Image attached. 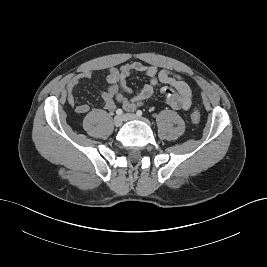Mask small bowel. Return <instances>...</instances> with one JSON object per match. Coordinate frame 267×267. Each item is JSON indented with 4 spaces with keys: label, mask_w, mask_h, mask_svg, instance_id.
Here are the masks:
<instances>
[{
    "label": "small bowel",
    "mask_w": 267,
    "mask_h": 267,
    "mask_svg": "<svg viewBox=\"0 0 267 267\" xmlns=\"http://www.w3.org/2000/svg\"><path fill=\"white\" fill-rule=\"evenodd\" d=\"M133 73H142L148 78V82L136 94L128 86V78ZM91 77L92 72L87 70L70 78L66 85L67 102L80 115L89 113L90 106L76 103L75 88L82 80H88ZM106 81L108 87L101 92L103 106L106 110H113L117 106H121L126 111H134L152 97L158 84L163 85L160 92L172 108L188 110L192 105L191 89L184 78L169 69L159 68L155 65L132 62L120 67H112L108 70Z\"/></svg>",
    "instance_id": "obj_1"
}]
</instances>
